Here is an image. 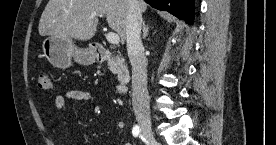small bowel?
I'll use <instances>...</instances> for the list:
<instances>
[{
    "label": "small bowel",
    "instance_id": "small-bowel-1",
    "mask_svg": "<svg viewBox=\"0 0 276 145\" xmlns=\"http://www.w3.org/2000/svg\"><path fill=\"white\" fill-rule=\"evenodd\" d=\"M96 98L87 91L84 90H69L62 94L56 96L54 100V107L57 111H61L65 108L68 101H79L85 103H92ZM116 128L123 130L125 128V123L122 120L116 121ZM120 145H129L128 143H120Z\"/></svg>",
    "mask_w": 276,
    "mask_h": 145
}]
</instances>
